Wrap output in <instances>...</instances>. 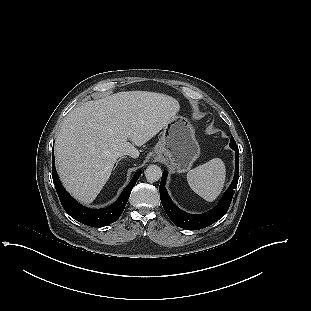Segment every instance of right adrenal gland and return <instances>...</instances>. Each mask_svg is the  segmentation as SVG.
Masks as SVG:
<instances>
[{"mask_svg": "<svg viewBox=\"0 0 311 311\" xmlns=\"http://www.w3.org/2000/svg\"><path fill=\"white\" fill-rule=\"evenodd\" d=\"M121 159H122V158H120V159L117 161V163H116L114 169L117 167V165H118V163H119V161H120Z\"/></svg>", "mask_w": 311, "mask_h": 311, "instance_id": "1", "label": "right adrenal gland"}]
</instances>
